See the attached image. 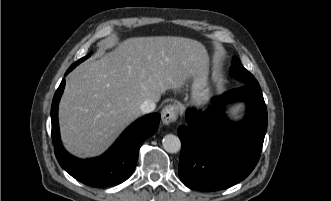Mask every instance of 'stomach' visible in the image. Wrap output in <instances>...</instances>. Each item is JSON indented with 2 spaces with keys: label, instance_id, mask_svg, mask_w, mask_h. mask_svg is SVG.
Returning <instances> with one entry per match:
<instances>
[{
  "label": "stomach",
  "instance_id": "1",
  "mask_svg": "<svg viewBox=\"0 0 331 201\" xmlns=\"http://www.w3.org/2000/svg\"><path fill=\"white\" fill-rule=\"evenodd\" d=\"M211 98V90L208 84L207 64L200 66L192 78L191 96L189 103L197 107H206ZM188 100V98H186Z\"/></svg>",
  "mask_w": 331,
  "mask_h": 201
}]
</instances>
